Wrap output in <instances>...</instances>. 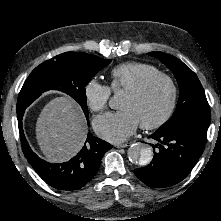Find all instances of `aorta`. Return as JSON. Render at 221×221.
Instances as JSON below:
<instances>
[{"mask_svg":"<svg viewBox=\"0 0 221 221\" xmlns=\"http://www.w3.org/2000/svg\"><path fill=\"white\" fill-rule=\"evenodd\" d=\"M118 102V96L114 95L109 105L111 108H116ZM128 158L131 163L139 166L148 165L153 158V150L150 146L142 143L132 144L128 149Z\"/></svg>","mask_w":221,"mask_h":221,"instance_id":"1","label":"aorta"}]
</instances>
